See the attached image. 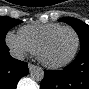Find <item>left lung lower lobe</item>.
I'll list each match as a JSON object with an SVG mask.
<instances>
[{
	"mask_svg": "<svg viewBox=\"0 0 89 89\" xmlns=\"http://www.w3.org/2000/svg\"><path fill=\"white\" fill-rule=\"evenodd\" d=\"M41 89H89V46L81 47L76 59L63 70H44Z\"/></svg>",
	"mask_w": 89,
	"mask_h": 89,
	"instance_id": "obj_1",
	"label": "left lung lower lobe"
}]
</instances>
